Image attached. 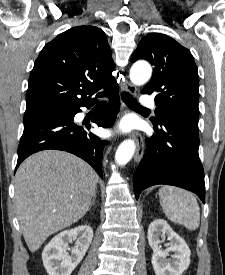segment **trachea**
Instances as JSON below:
<instances>
[{
    "instance_id": "obj_1",
    "label": "trachea",
    "mask_w": 225,
    "mask_h": 275,
    "mask_svg": "<svg viewBox=\"0 0 225 275\" xmlns=\"http://www.w3.org/2000/svg\"><path fill=\"white\" fill-rule=\"evenodd\" d=\"M121 98L124 101V103L130 108L146 110V108L140 106L128 92H122ZM103 104H105V101L98 102V105Z\"/></svg>"
}]
</instances>
